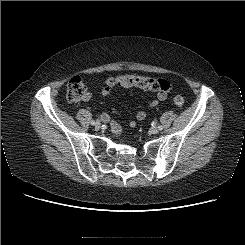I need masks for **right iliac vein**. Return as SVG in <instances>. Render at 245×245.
I'll return each instance as SVG.
<instances>
[{
	"label": "right iliac vein",
	"instance_id": "63e3f726",
	"mask_svg": "<svg viewBox=\"0 0 245 245\" xmlns=\"http://www.w3.org/2000/svg\"><path fill=\"white\" fill-rule=\"evenodd\" d=\"M94 125H95V128H96V129H99V128L101 127L100 122H96Z\"/></svg>",
	"mask_w": 245,
	"mask_h": 245
}]
</instances>
